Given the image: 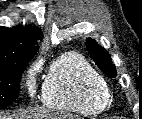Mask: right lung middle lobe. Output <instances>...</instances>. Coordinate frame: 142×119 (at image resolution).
<instances>
[{"instance_id":"dd1d6c3e","label":"right lung middle lobe","mask_w":142,"mask_h":119,"mask_svg":"<svg viewBox=\"0 0 142 119\" xmlns=\"http://www.w3.org/2000/svg\"><path fill=\"white\" fill-rule=\"evenodd\" d=\"M29 60L0 64V109L13 103L19 96L21 75Z\"/></svg>"}]
</instances>
